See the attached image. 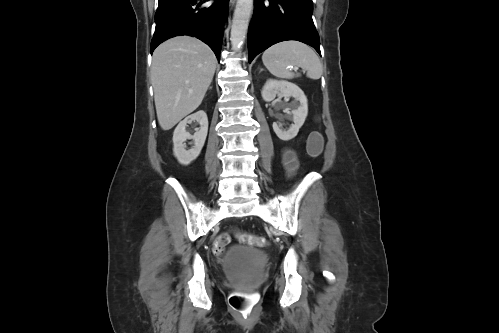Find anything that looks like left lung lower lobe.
I'll use <instances>...</instances> for the list:
<instances>
[{"mask_svg":"<svg viewBox=\"0 0 499 333\" xmlns=\"http://www.w3.org/2000/svg\"><path fill=\"white\" fill-rule=\"evenodd\" d=\"M312 13V0H254L248 29L249 62L273 44L286 40L306 43L321 55Z\"/></svg>","mask_w":499,"mask_h":333,"instance_id":"obj_1","label":"left lung lower lobe"}]
</instances>
